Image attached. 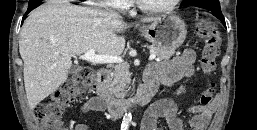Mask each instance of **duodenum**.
I'll return each instance as SVG.
<instances>
[{"label": "duodenum", "instance_id": "duodenum-1", "mask_svg": "<svg viewBox=\"0 0 257 130\" xmlns=\"http://www.w3.org/2000/svg\"><path fill=\"white\" fill-rule=\"evenodd\" d=\"M109 72L107 69L98 71L96 95L104 110L112 119L119 118L131 109L145 106L158 91L159 84L155 80H146L135 97L118 99L110 90Z\"/></svg>", "mask_w": 257, "mask_h": 130}]
</instances>
